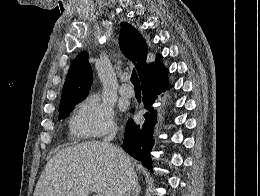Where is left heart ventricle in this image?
<instances>
[{
    "label": "left heart ventricle",
    "mask_w": 260,
    "mask_h": 196,
    "mask_svg": "<svg viewBox=\"0 0 260 196\" xmlns=\"http://www.w3.org/2000/svg\"><path fill=\"white\" fill-rule=\"evenodd\" d=\"M96 192H107V190H95ZM55 192H66V190H55Z\"/></svg>",
    "instance_id": "obj_1"
}]
</instances>
